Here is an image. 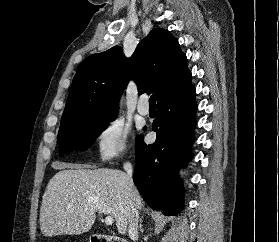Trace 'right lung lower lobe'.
Returning <instances> with one entry per match:
<instances>
[{"instance_id": "obj_1", "label": "right lung lower lobe", "mask_w": 279, "mask_h": 242, "mask_svg": "<svg viewBox=\"0 0 279 242\" xmlns=\"http://www.w3.org/2000/svg\"><path fill=\"white\" fill-rule=\"evenodd\" d=\"M196 109L191 85L157 104L152 124L157 132L155 143L146 145L141 137L137 138L133 181L145 202L165 215L183 209L184 188L177 173L192 158Z\"/></svg>"}]
</instances>
